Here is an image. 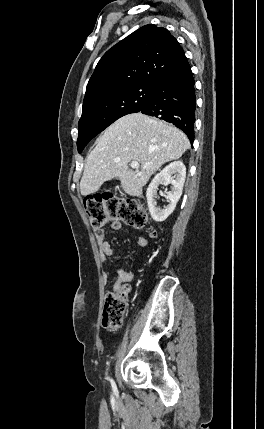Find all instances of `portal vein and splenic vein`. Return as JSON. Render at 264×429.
<instances>
[{
  "label": "portal vein and splenic vein",
  "mask_w": 264,
  "mask_h": 429,
  "mask_svg": "<svg viewBox=\"0 0 264 429\" xmlns=\"http://www.w3.org/2000/svg\"><path fill=\"white\" fill-rule=\"evenodd\" d=\"M130 166L132 168H138L139 167V163L137 161H132ZM148 166V164L144 165L143 168H146Z\"/></svg>",
  "instance_id": "18ae733b"
}]
</instances>
